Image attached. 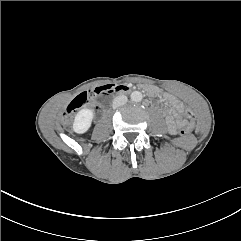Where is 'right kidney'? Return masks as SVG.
<instances>
[{"instance_id": "right-kidney-1", "label": "right kidney", "mask_w": 241, "mask_h": 241, "mask_svg": "<svg viewBox=\"0 0 241 241\" xmlns=\"http://www.w3.org/2000/svg\"><path fill=\"white\" fill-rule=\"evenodd\" d=\"M94 118V112L91 109H81L75 116L72 129L78 134H83L91 127L92 120Z\"/></svg>"}]
</instances>
